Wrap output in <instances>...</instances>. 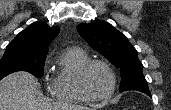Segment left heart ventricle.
I'll list each match as a JSON object with an SVG mask.
<instances>
[{
	"mask_svg": "<svg viewBox=\"0 0 171 110\" xmlns=\"http://www.w3.org/2000/svg\"><path fill=\"white\" fill-rule=\"evenodd\" d=\"M86 83L92 94L103 96L111 89V76L105 67L95 65L89 70Z\"/></svg>",
	"mask_w": 171,
	"mask_h": 110,
	"instance_id": "left-heart-ventricle-1",
	"label": "left heart ventricle"
}]
</instances>
